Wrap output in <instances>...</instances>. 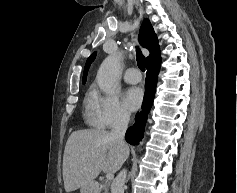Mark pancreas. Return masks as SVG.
Segmentation results:
<instances>
[{"instance_id": "obj_1", "label": "pancreas", "mask_w": 237, "mask_h": 193, "mask_svg": "<svg viewBox=\"0 0 237 193\" xmlns=\"http://www.w3.org/2000/svg\"><path fill=\"white\" fill-rule=\"evenodd\" d=\"M102 190L104 191L103 193H109V184L105 182L104 184L101 185Z\"/></svg>"}]
</instances>
